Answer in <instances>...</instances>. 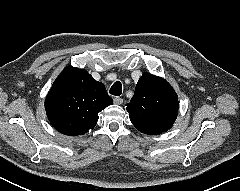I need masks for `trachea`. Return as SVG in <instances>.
Instances as JSON below:
<instances>
[{"label": "trachea", "mask_w": 240, "mask_h": 191, "mask_svg": "<svg viewBox=\"0 0 240 191\" xmlns=\"http://www.w3.org/2000/svg\"><path fill=\"white\" fill-rule=\"evenodd\" d=\"M122 93V85L119 81H116L110 88V94L114 96H120Z\"/></svg>", "instance_id": "1"}]
</instances>
